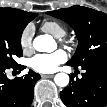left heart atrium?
Segmentation results:
<instances>
[{
	"mask_svg": "<svg viewBox=\"0 0 107 107\" xmlns=\"http://www.w3.org/2000/svg\"><path fill=\"white\" fill-rule=\"evenodd\" d=\"M67 60V54L63 50H57L52 53H43L35 55L30 62L33 70L39 73H53L60 64Z\"/></svg>",
	"mask_w": 107,
	"mask_h": 107,
	"instance_id": "1",
	"label": "left heart atrium"
}]
</instances>
